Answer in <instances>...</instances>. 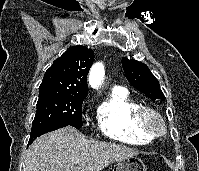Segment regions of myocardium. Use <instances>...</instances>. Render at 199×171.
Segmentation results:
<instances>
[{
	"instance_id": "1",
	"label": "myocardium",
	"mask_w": 199,
	"mask_h": 171,
	"mask_svg": "<svg viewBox=\"0 0 199 171\" xmlns=\"http://www.w3.org/2000/svg\"><path fill=\"white\" fill-rule=\"evenodd\" d=\"M138 120L141 128L154 137H161L167 132V123L162 114L149 106H142Z\"/></svg>"
}]
</instances>
